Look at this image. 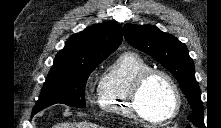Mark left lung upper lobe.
<instances>
[{
	"label": "left lung upper lobe",
	"mask_w": 221,
	"mask_h": 128,
	"mask_svg": "<svg viewBox=\"0 0 221 128\" xmlns=\"http://www.w3.org/2000/svg\"><path fill=\"white\" fill-rule=\"evenodd\" d=\"M124 35L129 44L152 56L172 73L193 110L188 120L199 128L205 127L204 108L195 78V67L186 45L154 25L126 24Z\"/></svg>",
	"instance_id": "5c2ea615"
}]
</instances>
